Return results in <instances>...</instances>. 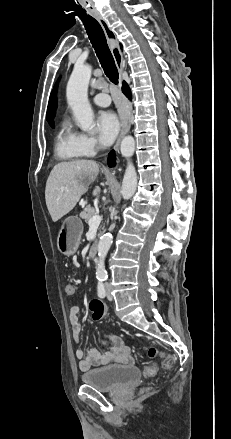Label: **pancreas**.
I'll return each mask as SVG.
<instances>
[{
  "label": "pancreas",
  "instance_id": "pancreas-1",
  "mask_svg": "<svg viewBox=\"0 0 231 439\" xmlns=\"http://www.w3.org/2000/svg\"><path fill=\"white\" fill-rule=\"evenodd\" d=\"M96 214V211L91 206H87L80 213V217L85 220V222H89V220Z\"/></svg>",
  "mask_w": 231,
  "mask_h": 439
}]
</instances>
